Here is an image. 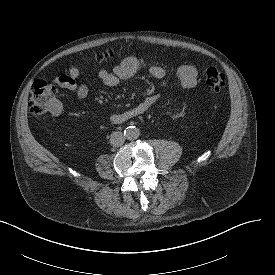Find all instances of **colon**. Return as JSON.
<instances>
[{
	"mask_svg": "<svg viewBox=\"0 0 275 275\" xmlns=\"http://www.w3.org/2000/svg\"><path fill=\"white\" fill-rule=\"evenodd\" d=\"M109 54L103 53L97 56L98 62H104ZM205 84L213 92H220L225 86V75L218 69L211 67L206 70ZM57 89L45 80L34 81L31 88L30 112L34 116H42L57 104Z\"/></svg>",
	"mask_w": 275,
	"mask_h": 275,
	"instance_id": "5ec220e1",
	"label": "colon"
}]
</instances>
